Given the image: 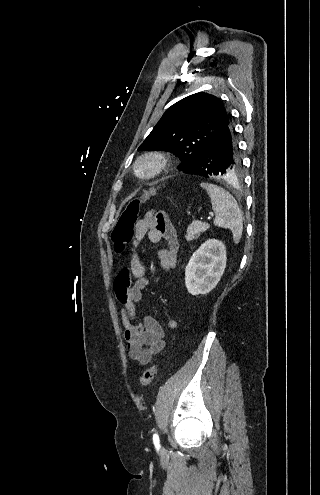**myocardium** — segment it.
Returning a JSON list of instances; mask_svg holds the SVG:
<instances>
[{
  "label": "myocardium",
  "mask_w": 320,
  "mask_h": 495,
  "mask_svg": "<svg viewBox=\"0 0 320 495\" xmlns=\"http://www.w3.org/2000/svg\"><path fill=\"white\" fill-rule=\"evenodd\" d=\"M170 166V158L161 151L143 153L133 163V172L140 179L150 180L158 177Z\"/></svg>",
  "instance_id": "1"
}]
</instances>
